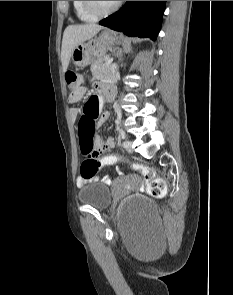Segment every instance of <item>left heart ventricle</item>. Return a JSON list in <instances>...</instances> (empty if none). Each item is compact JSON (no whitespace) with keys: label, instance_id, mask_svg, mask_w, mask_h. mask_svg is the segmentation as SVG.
Wrapping results in <instances>:
<instances>
[{"label":"left heart ventricle","instance_id":"b2bd125f","mask_svg":"<svg viewBox=\"0 0 233 295\" xmlns=\"http://www.w3.org/2000/svg\"><path fill=\"white\" fill-rule=\"evenodd\" d=\"M100 9L105 10L113 6L116 1H96Z\"/></svg>","mask_w":233,"mask_h":295}]
</instances>
